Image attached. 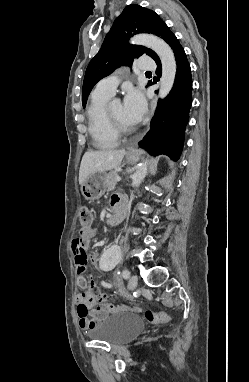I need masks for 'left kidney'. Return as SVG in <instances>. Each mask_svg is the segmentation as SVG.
Returning <instances> with one entry per match:
<instances>
[{"label": "left kidney", "instance_id": "obj_1", "mask_svg": "<svg viewBox=\"0 0 249 382\" xmlns=\"http://www.w3.org/2000/svg\"><path fill=\"white\" fill-rule=\"evenodd\" d=\"M106 251L109 254L101 255V260H93V267H100V271L104 273H113L114 267H121V255L122 246L121 245H107Z\"/></svg>", "mask_w": 249, "mask_h": 382}]
</instances>
